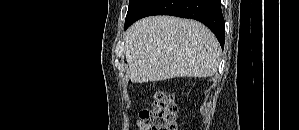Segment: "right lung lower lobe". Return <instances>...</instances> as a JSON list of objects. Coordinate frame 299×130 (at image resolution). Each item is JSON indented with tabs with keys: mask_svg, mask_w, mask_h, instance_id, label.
Returning a JSON list of instances; mask_svg holds the SVG:
<instances>
[{
	"mask_svg": "<svg viewBox=\"0 0 299 130\" xmlns=\"http://www.w3.org/2000/svg\"><path fill=\"white\" fill-rule=\"evenodd\" d=\"M150 15H172L198 20L216 35L221 47H224L225 27L220 0H147L124 29Z\"/></svg>",
	"mask_w": 299,
	"mask_h": 130,
	"instance_id": "1",
	"label": "right lung lower lobe"
}]
</instances>
